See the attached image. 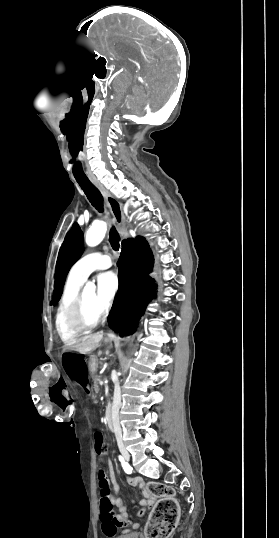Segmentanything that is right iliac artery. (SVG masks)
Instances as JSON below:
<instances>
[{
    "label": "right iliac artery",
    "mask_w": 279,
    "mask_h": 538,
    "mask_svg": "<svg viewBox=\"0 0 279 538\" xmlns=\"http://www.w3.org/2000/svg\"><path fill=\"white\" fill-rule=\"evenodd\" d=\"M119 461L121 462L122 464V467L124 469V471L128 474H131L132 473V467L124 460V458L122 456H119Z\"/></svg>",
    "instance_id": "obj_1"
}]
</instances>
